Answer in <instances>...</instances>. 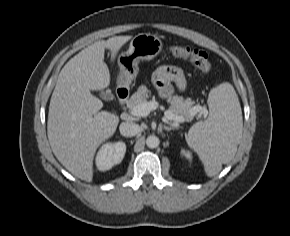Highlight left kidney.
Masks as SVG:
<instances>
[{
    "mask_svg": "<svg viewBox=\"0 0 290 236\" xmlns=\"http://www.w3.org/2000/svg\"><path fill=\"white\" fill-rule=\"evenodd\" d=\"M181 154H182L183 156H185L188 160H191V159H192V155H191V153H190L189 151L182 150V151H181Z\"/></svg>",
    "mask_w": 290,
    "mask_h": 236,
    "instance_id": "5707ae66",
    "label": "left kidney"
}]
</instances>
